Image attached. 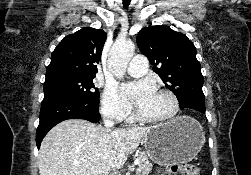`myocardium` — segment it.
<instances>
[{
    "mask_svg": "<svg viewBox=\"0 0 251 175\" xmlns=\"http://www.w3.org/2000/svg\"><path fill=\"white\" fill-rule=\"evenodd\" d=\"M158 92L164 93L169 96L173 105L172 113L166 117L148 116L143 113H140L141 118L148 122L158 123V124H168V123L174 122L180 117L182 113V104H181L178 94L171 88H167V87L159 88Z\"/></svg>",
    "mask_w": 251,
    "mask_h": 175,
    "instance_id": "f54148a6",
    "label": "myocardium"
}]
</instances>
